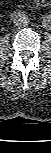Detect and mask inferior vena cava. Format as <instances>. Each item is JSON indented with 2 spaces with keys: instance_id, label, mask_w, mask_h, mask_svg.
I'll return each mask as SVG.
<instances>
[{
  "instance_id": "602c4592",
  "label": "inferior vena cava",
  "mask_w": 51,
  "mask_h": 153,
  "mask_svg": "<svg viewBox=\"0 0 51 153\" xmlns=\"http://www.w3.org/2000/svg\"><path fill=\"white\" fill-rule=\"evenodd\" d=\"M29 22H30V19L25 14H17L13 19V23L16 26H26L29 24Z\"/></svg>"
}]
</instances>
